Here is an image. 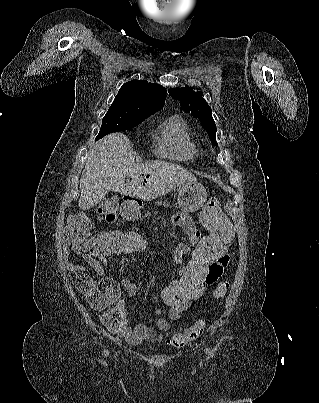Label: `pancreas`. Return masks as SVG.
Returning <instances> with one entry per match:
<instances>
[{"instance_id":"cf45deb5","label":"pancreas","mask_w":319,"mask_h":403,"mask_svg":"<svg viewBox=\"0 0 319 403\" xmlns=\"http://www.w3.org/2000/svg\"><path fill=\"white\" fill-rule=\"evenodd\" d=\"M163 205H166V206H168V204L166 203V201H164V202H163Z\"/></svg>"}]
</instances>
